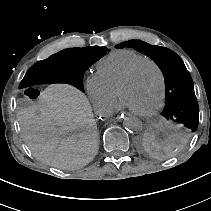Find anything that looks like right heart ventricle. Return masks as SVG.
Returning <instances> with one entry per match:
<instances>
[{
  "mask_svg": "<svg viewBox=\"0 0 211 211\" xmlns=\"http://www.w3.org/2000/svg\"><path fill=\"white\" fill-rule=\"evenodd\" d=\"M146 59L135 52H123L101 60L96 74L116 98V86L121 78L136 64Z\"/></svg>",
  "mask_w": 211,
  "mask_h": 211,
  "instance_id": "obj_1",
  "label": "right heart ventricle"
}]
</instances>
